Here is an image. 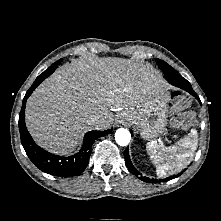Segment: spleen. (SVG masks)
<instances>
[{"label":"spleen","instance_id":"1","mask_svg":"<svg viewBox=\"0 0 221 221\" xmlns=\"http://www.w3.org/2000/svg\"><path fill=\"white\" fill-rule=\"evenodd\" d=\"M197 145V131L191 129L189 135L176 144L165 147L151 141L147 143L146 150L156 167L157 175L163 177L175 174L186 167L193 159Z\"/></svg>","mask_w":221,"mask_h":221}]
</instances>
